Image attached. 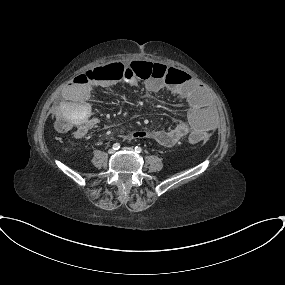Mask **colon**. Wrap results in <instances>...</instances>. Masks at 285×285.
I'll return each mask as SVG.
<instances>
[{
  "label": "colon",
  "mask_w": 285,
  "mask_h": 285,
  "mask_svg": "<svg viewBox=\"0 0 285 285\" xmlns=\"http://www.w3.org/2000/svg\"><path fill=\"white\" fill-rule=\"evenodd\" d=\"M122 76L124 73V66L119 63H114L108 67ZM129 76H135L142 80L156 79L162 81L167 85H176L183 83L187 80V75L185 72L168 68L167 66L159 63H150L146 61H134L128 67ZM79 76V82L89 83L92 79H100L103 73L100 71H86L81 72ZM57 126L62 131H71L76 128V123L73 118L66 114H60L57 117ZM190 143H204L208 140V135L201 131H194L187 137Z\"/></svg>",
  "instance_id": "1"
}]
</instances>
